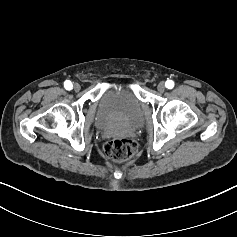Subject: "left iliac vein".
I'll list each match as a JSON object with an SVG mask.
<instances>
[{
	"mask_svg": "<svg viewBox=\"0 0 237 237\" xmlns=\"http://www.w3.org/2000/svg\"><path fill=\"white\" fill-rule=\"evenodd\" d=\"M157 88H158V90H159L160 92H163V91L165 90V84H164V82H160V83L158 84Z\"/></svg>",
	"mask_w": 237,
	"mask_h": 237,
	"instance_id": "1",
	"label": "left iliac vein"
}]
</instances>
